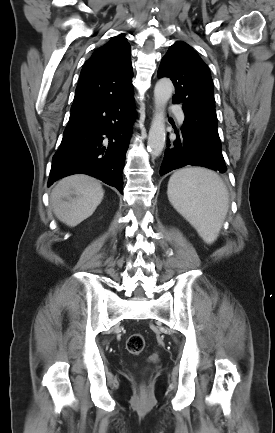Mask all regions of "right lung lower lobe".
<instances>
[{"mask_svg": "<svg viewBox=\"0 0 275 433\" xmlns=\"http://www.w3.org/2000/svg\"><path fill=\"white\" fill-rule=\"evenodd\" d=\"M134 117L133 93L71 111L61 145L53 156L48 186L81 173L122 193V171Z\"/></svg>", "mask_w": 275, "mask_h": 433, "instance_id": "right-lung-lower-lobe-1", "label": "right lung lower lobe"}]
</instances>
